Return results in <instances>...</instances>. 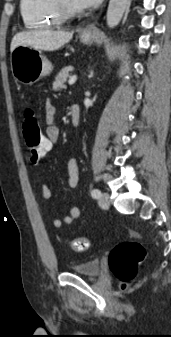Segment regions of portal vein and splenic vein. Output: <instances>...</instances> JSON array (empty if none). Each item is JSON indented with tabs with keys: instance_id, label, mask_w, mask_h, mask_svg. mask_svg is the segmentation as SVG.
<instances>
[{
	"instance_id": "obj_1",
	"label": "portal vein and splenic vein",
	"mask_w": 171,
	"mask_h": 337,
	"mask_svg": "<svg viewBox=\"0 0 171 337\" xmlns=\"http://www.w3.org/2000/svg\"><path fill=\"white\" fill-rule=\"evenodd\" d=\"M76 80H77V76L76 75L71 76L69 78V81H68L69 85L74 84L76 82Z\"/></svg>"
}]
</instances>
